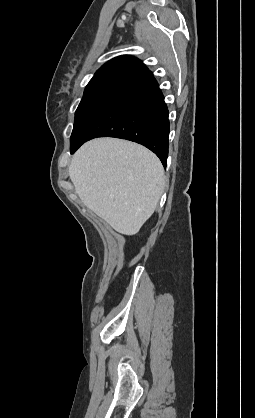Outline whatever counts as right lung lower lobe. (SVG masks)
Instances as JSON below:
<instances>
[{
  "label": "right lung lower lobe",
  "instance_id": "98d812e1",
  "mask_svg": "<svg viewBox=\"0 0 255 418\" xmlns=\"http://www.w3.org/2000/svg\"><path fill=\"white\" fill-rule=\"evenodd\" d=\"M168 109L155 78L128 86L113 96L90 120L76 142L74 153L83 143L97 137H116L144 145L167 165Z\"/></svg>",
  "mask_w": 255,
  "mask_h": 418
}]
</instances>
